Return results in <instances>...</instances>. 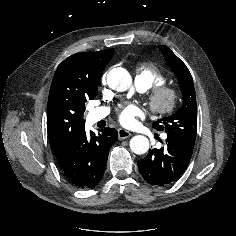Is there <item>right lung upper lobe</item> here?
I'll list each match as a JSON object with an SVG mask.
<instances>
[{"instance_id": "1", "label": "right lung upper lobe", "mask_w": 236, "mask_h": 236, "mask_svg": "<svg viewBox=\"0 0 236 236\" xmlns=\"http://www.w3.org/2000/svg\"><path fill=\"white\" fill-rule=\"evenodd\" d=\"M114 50L79 53L68 57L57 68L49 92L47 132L50 146L60 162L69 154L85 128V102ZM92 100V99H90Z\"/></svg>"}]
</instances>
